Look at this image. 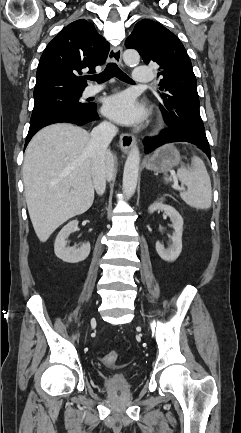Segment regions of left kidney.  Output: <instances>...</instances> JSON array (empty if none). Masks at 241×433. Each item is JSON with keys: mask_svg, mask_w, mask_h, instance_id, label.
<instances>
[{"mask_svg": "<svg viewBox=\"0 0 241 433\" xmlns=\"http://www.w3.org/2000/svg\"><path fill=\"white\" fill-rule=\"evenodd\" d=\"M163 198L159 199V201L154 202L149 206V213H154L157 210H163L164 213L170 218L172 221V227L174 229L172 239V245L165 249L164 245L159 241L156 242V251L158 255L166 262H174L180 255L182 251V232H183V218L172 206L163 204Z\"/></svg>", "mask_w": 241, "mask_h": 433, "instance_id": "left-kidney-1", "label": "left kidney"}]
</instances>
